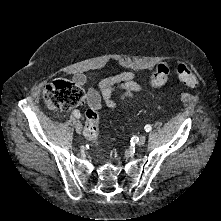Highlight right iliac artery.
Instances as JSON below:
<instances>
[{"mask_svg":"<svg viewBox=\"0 0 221 221\" xmlns=\"http://www.w3.org/2000/svg\"><path fill=\"white\" fill-rule=\"evenodd\" d=\"M73 115L76 117V118H80L81 117V114L78 110H74L73 111Z\"/></svg>","mask_w":221,"mask_h":221,"instance_id":"1","label":"right iliac artery"}]
</instances>
